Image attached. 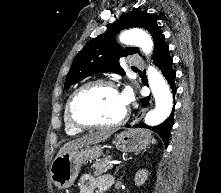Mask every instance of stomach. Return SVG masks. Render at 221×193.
<instances>
[{
	"mask_svg": "<svg viewBox=\"0 0 221 193\" xmlns=\"http://www.w3.org/2000/svg\"><path fill=\"white\" fill-rule=\"evenodd\" d=\"M151 141V133L140 128H131L117 134L113 140L115 147L124 153L137 152L146 148ZM102 155L99 145L85 146L56 156L50 167L53 184L64 189L73 185L81 166L88 160L98 159Z\"/></svg>",
	"mask_w": 221,
	"mask_h": 193,
	"instance_id": "1",
	"label": "stomach"
}]
</instances>
